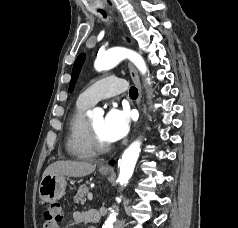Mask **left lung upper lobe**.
Returning a JSON list of instances; mask_svg holds the SVG:
<instances>
[{
	"instance_id": "1",
	"label": "left lung upper lobe",
	"mask_w": 238,
	"mask_h": 228,
	"mask_svg": "<svg viewBox=\"0 0 238 228\" xmlns=\"http://www.w3.org/2000/svg\"><path fill=\"white\" fill-rule=\"evenodd\" d=\"M85 60V54H80L73 66V70H72V77H71V81H70V86H69V92L71 93L74 90L75 87V83L77 82L78 76H79V72L81 70V67L84 63Z\"/></svg>"
}]
</instances>
